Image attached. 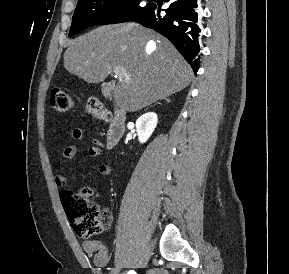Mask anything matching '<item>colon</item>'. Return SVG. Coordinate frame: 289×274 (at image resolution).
<instances>
[{
  "label": "colon",
  "mask_w": 289,
  "mask_h": 274,
  "mask_svg": "<svg viewBox=\"0 0 289 274\" xmlns=\"http://www.w3.org/2000/svg\"><path fill=\"white\" fill-rule=\"evenodd\" d=\"M51 107L59 112L70 111L74 107L72 96L61 89H53L49 94ZM87 111L99 120L106 121L109 112L96 98H89L86 102ZM92 190L88 187L74 193L63 191L61 199L72 222L75 232L84 238L102 234L112 222V213L103 209L91 198Z\"/></svg>",
  "instance_id": "5ec220e1"
}]
</instances>
